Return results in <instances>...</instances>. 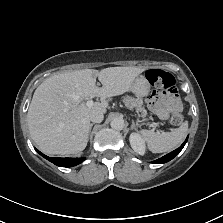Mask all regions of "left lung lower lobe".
Segmentation results:
<instances>
[{"instance_id":"obj_1","label":"left lung lower lobe","mask_w":223,"mask_h":223,"mask_svg":"<svg viewBox=\"0 0 223 223\" xmlns=\"http://www.w3.org/2000/svg\"><path fill=\"white\" fill-rule=\"evenodd\" d=\"M188 140V137L186 138V140L184 141V143L176 150L172 151L171 153L155 160L153 163H166L170 160H172L182 149L183 147L185 146L186 142Z\"/></svg>"}]
</instances>
